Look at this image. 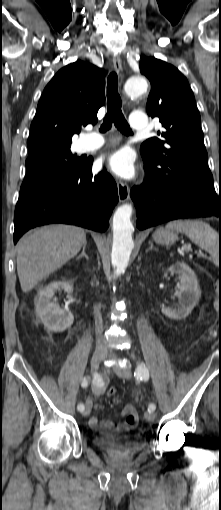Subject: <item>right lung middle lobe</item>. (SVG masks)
I'll return each instance as SVG.
<instances>
[{
    "mask_svg": "<svg viewBox=\"0 0 221 510\" xmlns=\"http://www.w3.org/2000/svg\"><path fill=\"white\" fill-rule=\"evenodd\" d=\"M86 161L77 157L70 147H42L29 152L26 176L20 188L18 203L34 190L74 178Z\"/></svg>",
    "mask_w": 221,
    "mask_h": 510,
    "instance_id": "right-lung-middle-lobe-1",
    "label": "right lung middle lobe"
}]
</instances>
